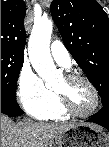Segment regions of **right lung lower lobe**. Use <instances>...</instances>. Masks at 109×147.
Returning <instances> with one entry per match:
<instances>
[{
	"instance_id": "1",
	"label": "right lung lower lobe",
	"mask_w": 109,
	"mask_h": 147,
	"mask_svg": "<svg viewBox=\"0 0 109 147\" xmlns=\"http://www.w3.org/2000/svg\"><path fill=\"white\" fill-rule=\"evenodd\" d=\"M1 113L9 116H20L23 112L16 101L1 93Z\"/></svg>"
}]
</instances>
